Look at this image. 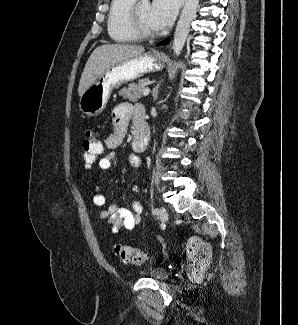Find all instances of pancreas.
<instances>
[{
	"instance_id": "1",
	"label": "pancreas",
	"mask_w": 298,
	"mask_h": 325,
	"mask_svg": "<svg viewBox=\"0 0 298 325\" xmlns=\"http://www.w3.org/2000/svg\"><path fill=\"white\" fill-rule=\"evenodd\" d=\"M149 78H140L138 82H132V84H128V86H123L120 88L118 94L123 96V98H128L131 102H137L139 98L142 96L143 88L146 86V82H148Z\"/></svg>"
}]
</instances>
